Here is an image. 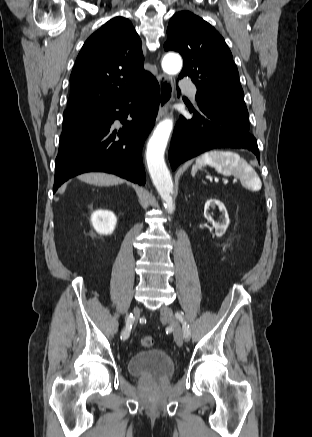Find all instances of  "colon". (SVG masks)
<instances>
[{
  "instance_id": "obj_1",
  "label": "colon",
  "mask_w": 312,
  "mask_h": 437,
  "mask_svg": "<svg viewBox=\"0 0 312 437\" xmlns=\"http://www.w3.org/2000/svg\"><path fill=\"white\" fill-rule=\"evenodd\" d=\"M140 343L145 348H150L154 344V340L151 336H143L140 340Z\"/></svg>"
}]
</instances>
